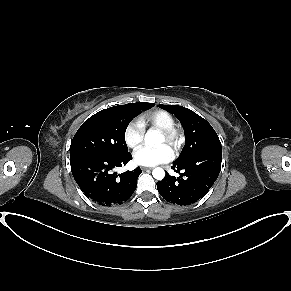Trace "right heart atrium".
<instances>
[{"mask_svg":"<svg viewBox=\"0 0 291 291\" xmlns=\"http://www.w3.org/2000/svg\"><path fill=\"white\" fill-rule=\"evenodd\" d=\"M145 129L142 123L138 119L130 121L123 132V138L125 144L129 148H136L144 139Z\"/></svg>","mask_w":291,"mask_h":291,"instance_id":"1","label":"right heart atrium"}]
</instances>
